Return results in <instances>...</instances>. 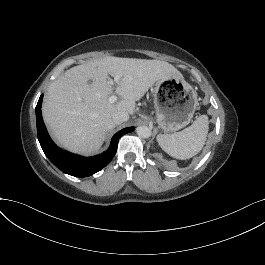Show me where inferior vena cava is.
<instances>
[{
	"label": "inferior vena cava",
	"mask_w": 265,
	"mask_h": 265,
	"mask_svg": "<svg viewBox=\"0 0 265 265\" xmlns=\"http://www.w3.org/2000/svg\"><path fill=\"white\" fill-rule=\"evenodd\" d=\"M129 119V113L126 111H116L112 114V120L115 125H119Z\"/></svg>",
	"instance_id": "602c4592"
}]
</instances>
